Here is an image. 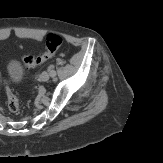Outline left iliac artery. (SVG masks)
<instances>
[{"instance_id":"1","label":"left iliac artery","mask_w":163,"mask_h":163,"mask_svg":"<svg viewBox=\"0 0 163 163\" xmlns=\"http://www.w3.org/2000/svg\"><path fill=\"white\" fill-rule=\"evenodd\" d=\"M48 71H49L51 77H55L56 76V71L54 70V66L53 65H50L48 67Z\"/></svg>"}]
</instances>
